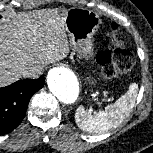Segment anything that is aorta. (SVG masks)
I'll list each match as a JSON object with an SVG mask.
<instances>
[{
    "label": "aorta",
    "instance_id": "762f6f07",
    "mask_svg": "<svg viewBox=\"0 0 153 153\" xmlns=\"http://www.w3.org/2000/svg\"><path fill=\"white\" fill-rule=\"evenodd\" d=\"M51 93L63 104L75 103L79 95V82L76 76L69 71H58L47 79Z\"/></svg>",
    "mask_w": 153,
    "mask_h": 153
}]
</instances>
